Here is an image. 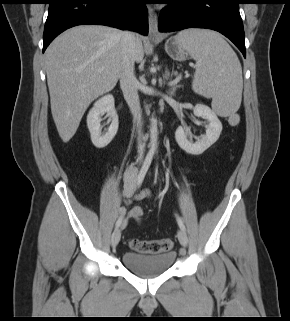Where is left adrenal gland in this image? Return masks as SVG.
Instances as JSON below:
<instances>
[{
    "instance_id": "left-adrenal-gland-1",
    "label": "left adrenal gland",
    "mask_w": 290,
    "mask_h": 321,
    "mask_svg": "<svg viewBox=\"0 0 290 321\" xmlns=\"http://www.w3.org/2000/svg\"><path fill=\"white\" fill-rule=\"evenodd\" d=\"M169 75H170V73H169L168 69H166L165 76H164L165 80L169 79ZM179 87H181V85H177V84L171 85L170 89L168 90L169 94L175 95V92Z\"/></svg>"
}]
</instances>
